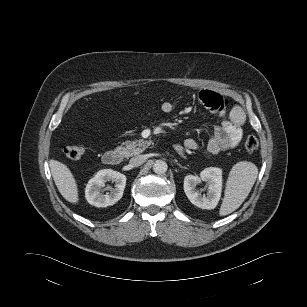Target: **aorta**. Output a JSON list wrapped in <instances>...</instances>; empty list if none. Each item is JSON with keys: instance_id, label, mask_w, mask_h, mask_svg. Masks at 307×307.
Wrapping results in <instances>:
<instances>
[{"instance_id": "obj_1", "label": "aorta", "mask_w": 307, "mask_h": 307, "mask_svg": "<svg viewBox=\"0 0 307 307\" xmlns=\"http://www.w3.org/2000/svg\"><path fill=\"white\" fill-rule=\"evenodd\" d=\"M168 169V165L163 160H157L153 165V171L157 174H164Z\"/></svg>"}]
</instances>
